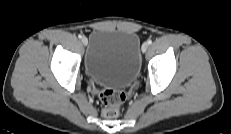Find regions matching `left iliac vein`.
<instances>
[{"instance_id": "left-iliac-vein-1", "label": "left iliac vein", "mask_w": 231, "mask_h": 134, "mask_svg": "<svg viewBox=\"0 0 231 134\" xmlns=\"http://www.w3.org/2000/svg\"><path fill=\"white\" fill-rule=\"evenodd\" d=\"M148 46H149V44L147 42L143 43V45H142V52L143 53L147 51Z\"/></svg>"}]
</instances>
